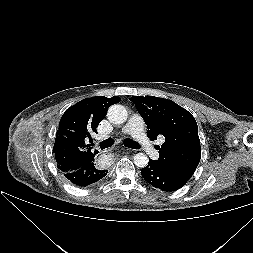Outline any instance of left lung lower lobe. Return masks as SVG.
Returning a JSON list of instances; mask_svg holds the SVG:
<instances>
[{"instance_id": "0a47b994", "label": "left lung lower lobe", "mask_w": 253, "mask_h": 253, "mask_svg": "<svg viewBox=\"0 0 253 253\" xmlns=\"http://www.w3.org/2000/svg\"><path fill=\"white\" fill-rule=\"evenodd\" d=\"M141 174L147 183L162 191H175L186 184L155 160H149L148 165L141 170Z\"/></svg>"}]
</instances>
